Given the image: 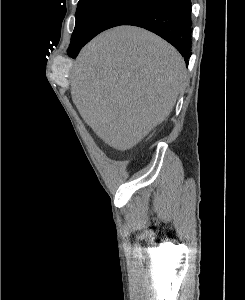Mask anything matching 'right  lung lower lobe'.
Returning <instances> with one entry per match:
<instances>
[{
  "mask_svg": "<svg viewBox=\"0 0 245 300\" xmlns=\"http://www.w3.org/2000/svg\"><path fill=\"white\" fill-rule=\"evenodd\" d=\"M190 17V0H159L123 25L142 27L159 35L171 43L188 63L191 56ZM84 45L68 48L69 56L75 58Z\"/></svg>",
  "mask_w": 245,
  "mask_h": 300,
  "instance_id": "right-lung-lower-lobe-1",
  "label": "right lung lower lobe"
}]
</instances>
